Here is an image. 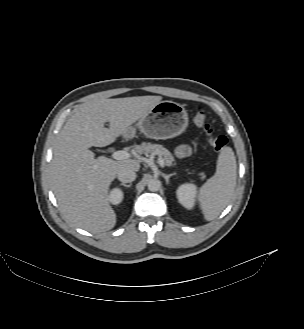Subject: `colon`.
Segmentation results:
<instances>
[{"label":"colon","instance_id":"5ec220e1","mask_svg":"<svg viewBox=\"0 0 304 329\" xmlns=\"http://www.w3.org/2000/svg\"><path fill=\"white\" fill-rule=\"evenodd\" d=\"M193 119L196 126L204 131L209 144L216 151H220L227 146V138L224 135H218L214 133L212 126L207 122L206 113L202 108H197L195 110Z\"/></svg>","mask_w":304,"mask_h":329}]
</instances>
